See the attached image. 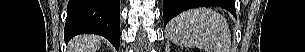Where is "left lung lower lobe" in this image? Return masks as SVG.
Masks as SVG:
<instances>
[{"label": "left lung lower lobe", "instance_id": "0a47b994", "mask_svg": "<svg viewBox=\"0 0 305 52\" xmlns=\"http://www.w3.org/2000/svg\"><path fill=\"white\" fill-rule=\"evenodd\" d=\"M199 6H211V5L210 2L205 0H163L164 25L166 26L169 20H171L173 17H175L182 11ZM225 9H227L234 16H236L234 0H232L231 6Z\"/></svg>", "mask_w": 305, "mask_h": 52}]
</instances>
